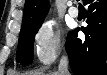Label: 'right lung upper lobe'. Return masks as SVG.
Instances as JSON below:
<instances>
[{"mask_svg":"<svg viewBox=\"0 0 107 75\" xmlns=\"http://www.w3.org/2000/svg\"><path fill=\"white\" fill-rule=\"evenodd\" d=\"M47 11L48 3L46 0H26L22 24L43 23Z\"/></svg>","mask_w":107,"mask_h":75,"instance_id":"1","label":"right lung upper lobe"}]
</instances>
